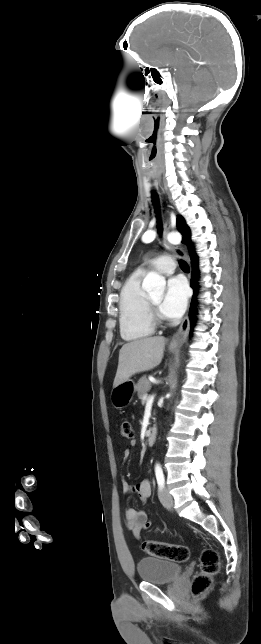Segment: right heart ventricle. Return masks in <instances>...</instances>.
<instances>
[{
    "label": "right heart ventricle",
    "instance_id": "e07e8e85",
    "mask_svg": "<svg viewBox=\"0 0 261 644\" xmlns=\"http://www.w3.org/2000/svg\"><path fill=\"white\" fill-rule=\"evenodd\" d=\"M142 277L140 270L132 273L120 292L119 327L121 337L126 341L140 340L154 332L148 310V295L141 286Z\"/></svg>",
    "mask_w": 261,
    "mask_h": 644
}]
</instances>
